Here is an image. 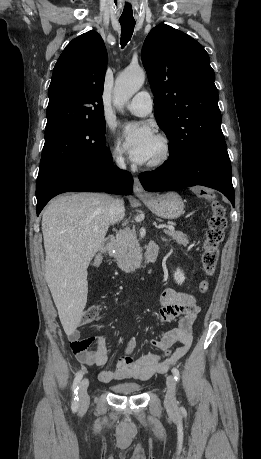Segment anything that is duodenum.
I'll list each match as a JSON object with an SVG mask.
<instances>
[{
    "instance_id": "1",
    "label": "duodenum",
    "mask_w": 261,
    "mask_h": 459,
    "mask_svg": "<svg viewBox=\"0 0 261 459\" xmlns=\"http://www.w3.org/2000/svg\"><path fill=\"white\" fill-rule=\"evenodd\" d=\"M114 242H115L114 236L106 237L101 246V249H100L101 252L105 255H110L112 252L113 246H114ZM158 252H159L158 245L155 242H150L145 248L142 259L139 262L135 263L134 265L130 266L129 269L134 270V269L143 267L145 265H150L154 263L157 259Z\"/></svg>"
}]
</instances>
